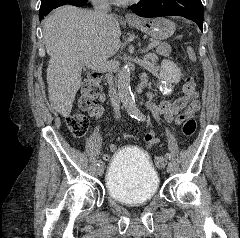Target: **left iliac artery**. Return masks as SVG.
I'll return each instance as SVG.
<instances>
[{
	"instance_id": "1",
	"label": "left iliac artery",
	"mask_w": 240,
	"mask_h": 238,
	"mask_svg": "<svg viewBox=\"0 0 240 238\" xmlns=\"http://www.w3.org/2000/svg\"><path fill=\"white\" fill-rule=\"evenodd\" d=\"M137 118V117H136ZM138 120L144 121L145 118L143 115L138 116ZM166 158L171 159V155L169 153H166Z\"/></svg>"
}]
</instances>
